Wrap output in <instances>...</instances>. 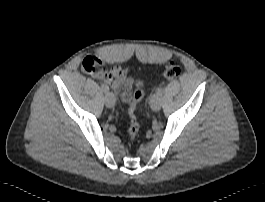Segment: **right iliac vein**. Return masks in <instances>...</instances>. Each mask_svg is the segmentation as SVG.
I'll return each mask as SVG.
<instances>
[{"mask_svg": "<svg viewBox=\"0 0 265 202\" xmlns=\"http://www.w3.org/2000/svg\"><path fill=\"white\" fill-rule=\"evenodd\" d=\"M104 100H105L106 106L109 108H111L115 105V97H114V94L112 92H107L105 97H104Z\"/></svg>", "mask_w": 265, "mask_h": 202, "instance_id": "63e3f726", "label": "right iliac vein"}]
</instances>
